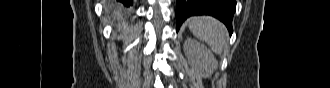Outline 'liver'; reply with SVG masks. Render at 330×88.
Returning <instances> with one entry per match:
<instances>
[{
  "mask_svg": "<svg viewBox=\"0 0 330 88\" xmlns=\"http://www.w3.org/2000/svg\"><path fill=\"white\" fill-rule=\"evenodd\" d=\"M121 12H122V7H121V6H118V7L115 9V14H116V17H117V20H118V21H121V20H122Z\"/></svg>",
  "mask_w": 330,
  "mask_h": 88,
  "instance_id": "obj_1",
  "label": "liver"
}]
</instances>
